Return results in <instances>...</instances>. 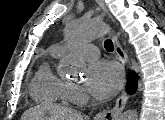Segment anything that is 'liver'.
<instances>
[{"label":"liver","instance_id":"6515ba94","mask_svg":"<svg viewBox=\"0 0 165 120\" xmlns=\"http://www.w3.org/2000/svg\"><path fill=\"white\" fill-rule=\"evenodd\" d=\"M47 109H52L54 112L55 118L58 120H83L81 114L70 108H54V107H35L26 111L21 120H41L44 117V113Z\"/></svg>","mask_w":165,"mask_h":120}]
</instances>
